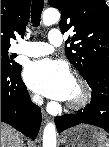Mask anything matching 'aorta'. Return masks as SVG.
<instances>
[{"label": "aorta", "instance_id": "762f6f07", "mask_svg": "<svg viewBox=\"0 0 109 147\" xmlns=\"http://www.w3.org/2000/svg\"><path fill=\"white\" fill-rule=\"evenodd\" d=\"M60 20V13L55 8H48L43 13V24L50 26L57 23ZM43 147H56V127L55 124L48 123L43 132Z\"/></svg>", "mask_w": 109, "mask_h": 147}]
</instances>
